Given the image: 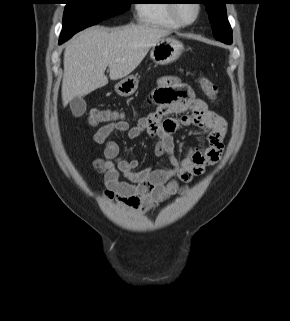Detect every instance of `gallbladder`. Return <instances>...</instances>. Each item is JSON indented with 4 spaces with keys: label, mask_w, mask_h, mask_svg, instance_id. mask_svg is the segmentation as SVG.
<instances>
[{
    "label": "gallbladder",
    "mask_w": 290,
    "mask_h": 321,
    "mask_svg": "<svg viewBox=\"0 0 290 321\" xmlns=\"http://www.w3.org/2000/svg\"><path fill=\"white\" fill-rule=\"evenodd\" d=\"M70 109L75 117H80L86 110V102L82 97H75L70 101Z\"/></svg>",
    "instance_id": "obj_1"
}]
</instances>
